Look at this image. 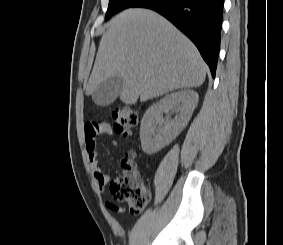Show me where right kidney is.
I'll use <instances>...</instances> for the list:
<instances>
[{"mask_svg":"<svg viewBox=\"0 0 283 245\" xmlns=\"http://www.w3.org/2000/svg\"><path fill=\"white\" fill-rule=\"evenodd\" d=\"M198 94L190 89L180 90L151 105L140 126L142 150L154 154L171 143L189 122L198 104ZM175 112L172 120H164L163 112Z\"/></svg>","mask_w":283,"mask_h":245,"instance_id":"ca27d5eb","label":"right kidney"}]
</instances>
